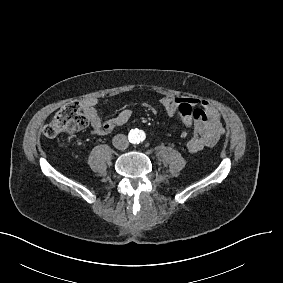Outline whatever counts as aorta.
Returning a JSON list of instances; mask_svg holds the SVG:
<instances>
[{
	"label": "aorta",
	"instance_id": "762f6f07",
	"mask_svg": "<svg viewBox=\"0 0 283 283\" xmlns=\"http://www.w3.org/2000/svg\"><path fill=\"white\" fill-rule=\"evenodd\" d=\"M145 138H146L145 132L137 128L130 130L128 134V139L133 144H138L140 142H143Z\"/></svg>",
	"mask_w": 283,
	"mask_h": 283
}]
</instances>
